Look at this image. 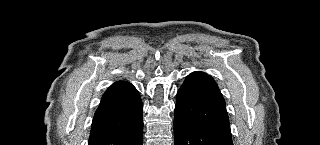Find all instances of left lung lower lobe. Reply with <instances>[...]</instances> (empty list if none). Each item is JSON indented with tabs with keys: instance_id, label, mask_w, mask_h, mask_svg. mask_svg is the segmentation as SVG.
Returning <instances> with one entry per match:
<instances>
[{
	"instance_id": "1",
	"label": "left lung lower lobe",
	"mask_w": 320,
	"mask_h": 145,
	"mask_svg": "<svg viewBox=\"0 0 320 145\" xmlns=\"http://www.w3.org/2000/svg\"><path fill=\"white\" fill-rule=\"evenodd\" d=\"M174 145H233L224 98L204 72L189 74L177 92Z\"/></svg>"
}]
</instances>
